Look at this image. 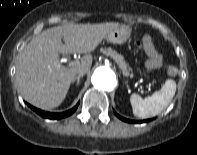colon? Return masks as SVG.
<instances>
[{
	"label": "colon",
	"mask_w": 197,
	"mask_h": 155,
	"mask_svg": "<svg viewBox=\"0 0 197 155\" xmlns=\"http://www.w3.org/2000/svg\"><path fill=\"white\" fill-rule=\"evenodd\" d=\"M137 45L140 48H143L147 54L149 55V61L150 64L154 67H158L161 64V57L160 55L157 53V51L155 50V47L153 45V43L146 39L145 42H137Z\"/></svg>",
	"instance_id": "5ec220e1"
}]
</instances>
